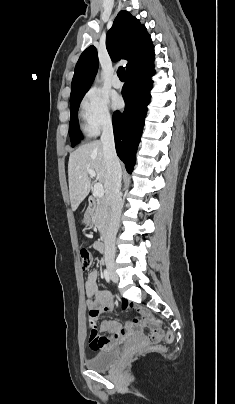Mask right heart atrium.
Returning a JSON list of instances; mask_svg holds the SVG:
<instances>
[{
	"instance_id": "obj_1",
	"label": "right heart atrium",
	"mask_w": 235,
	"mask_h": 404,
	"mask_svg": "<svg viewBox=\"0 0 235 404\" xmlns=\"http://www.w3.org/2000/svg\"><path fill=\"white\" fill-rule=\"evenodd\" d=\"M80 110L84 124L91 134H98L112 125L113 117L109 101L97 89L86 92L82 98Z\"/></svg>"
}]
</instances>
